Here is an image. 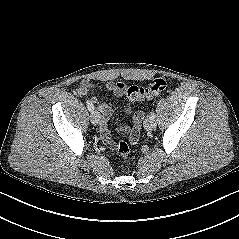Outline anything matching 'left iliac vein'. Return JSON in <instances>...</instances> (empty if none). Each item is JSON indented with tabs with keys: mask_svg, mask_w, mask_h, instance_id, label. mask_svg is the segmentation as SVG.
Returning <instances> with one entry per match:
<instances>
[{
	"mask_svg": "<svg viewBox=\"0 0 239 239\" xmlns=\"http://www.w3.org/2000/svg\"><path fill=\"white\" fill-rule=\"evenodd\" d=\"M144 127L147 131H152L156 128V121L155 119L151 118L150 116L145 119Z\"/></svg>",
	"mask_w": 239,
	"mask_h": 239,
	"instance_id": "obj_1",
	"label": "left iliac vein"
}]
</instances>
